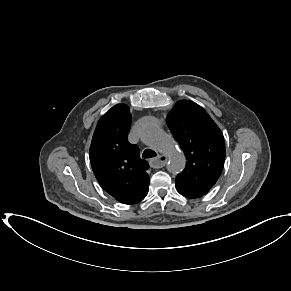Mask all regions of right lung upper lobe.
<instances>
[{
  "mask_svg": "<svg viewBox=\"0 0 291 291\" xmlns=\"http://www.w3.org/2000/svg\"><path fill=\"white\" fill-rule=\"evenodd\" d=\"M131 114L125 104L109 109L98 121L90 146V162L101 187L117 201L135 204L149 189L147 161L128 142Z\"/></svg>",
  "mask_w": 291,
  "mask_h": 291,
  "instance_id": "obj_1",
  "label": "right lung upper lobe"
}]
</instances>
